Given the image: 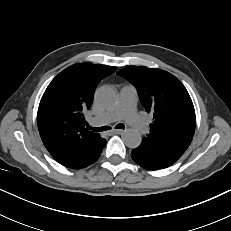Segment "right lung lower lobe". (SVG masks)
Returning a JSON list of instances; mask_svg holds the SVG:
<instances>
[{
  "label": "right lung lower lobe",
  "instance_id": "1",
  "mask_svg": "<svg viewBox=\"0 0 231 231\" xmlns=\"http://www.w3.org/2000/svg\"><path fill=\"white\" fill-rule=\"evenodd\" d=\"M105 144H106V140L102 139L94 148L89 149L86 153H84L77 160L71 163L62 164V165L72 168V169L85 168L88 165L98 160L103 148L105 147Z\"/></svg>",
  "mask_w": 231,
  "mask_h": 231
}]
</instances>
